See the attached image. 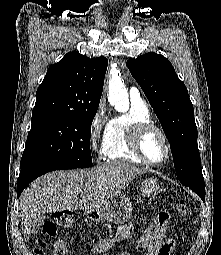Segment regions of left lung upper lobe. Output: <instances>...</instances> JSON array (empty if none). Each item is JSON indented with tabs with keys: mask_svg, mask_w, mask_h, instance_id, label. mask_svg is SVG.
Instances as JSON below:
<instances>
[{
	"mask_svg": "<svg viewBox=\"0 0 221 255\" xmlns=\"http://www.w3.org/2000/svg\"><path fill=\"white\" fill-rule=\"evenodd\" d=\"M126 65L162 125L179 181L183 185H204L193 105L172 64L151 52L128 60Z\"/></svg>",
	"mask_w": 221,
	"mask_h": 255,
	"instance_id": "left-lung-upper-lobe-1",
	"label": "left lung upper lobe"
}]
</instances>
